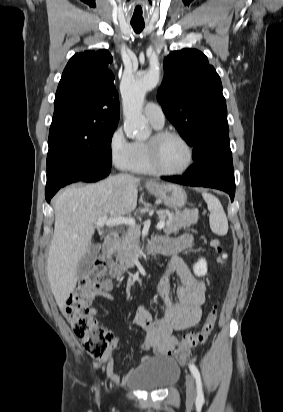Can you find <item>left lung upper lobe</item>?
<instances>
[{
	"label": "left lung upper lobe",
	"mask_w": 283,
	"mask_h": 412,
	"mask_svg": "<svg viewBox=\"0 0 283 412\" xmlns=\"http://www.w3.org/2000/svg\"><path fill=\"white\" fill-rule=\"evenodd\" d=\"M165 76L157 99L170 122L201 153L222 154L232 162L222 84L207 57L196 49L173 51L164 58Z\"/></svg>",
	"instance_id": "left-lung-upper-lobe-1"
}]
</instances>
